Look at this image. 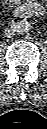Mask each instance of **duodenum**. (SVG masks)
Instances as JSON below:
<instances>
[{
    "label": "duodenum",
    "mask_w": 47,
    "mask_h": 129,
    "mask_svg": "<svg viewBox=\"0 0 47 129\" xmlns=\"http://www.w3.org/2000/svg\"><path fill=\"white\" fill-rule=\"evenodd\" d=\"M44 9L39 4L29 2L16 7L14 14L17 17L26 18L31 16H41Z\"/></svg>",
    "instance_id": "obj_1"
}]
</instances>
